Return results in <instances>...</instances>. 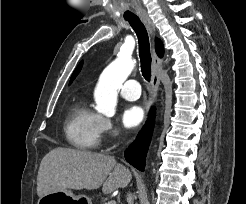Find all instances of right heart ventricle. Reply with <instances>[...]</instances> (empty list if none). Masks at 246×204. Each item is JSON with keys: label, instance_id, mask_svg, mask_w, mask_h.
Wrapping results in <instances>:
<instances>
[{"label": "right heart ventricle", "instance_id": "e07e8e85", "mask_svg": "<svg viewBox=\"0 0 246 204\" xmlns=\"http://www.w3.org/2000/svg\"><path fill=\"white\" fill-rule=\"evenodd\" d=\"M103 118L84 100L74 102L64 123L68 143L79 150H94L100 145Z\"/></svg>", "mask_w": 246, "mask_h": 204}]
</instances>
